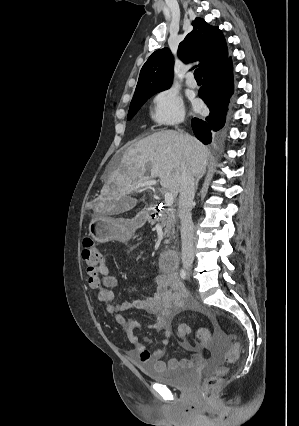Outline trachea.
<instances>
[{
  "instance_id": "3493384b",
  "label": "trachea",
  "mask_w": 299,
  "mask_h": 426,
  "mask_svg": "<svg viewBox=\"0 0 299 426\" xmlns=\"http://www.w3.org/2000/svg\"><path fill=\"white\" fill-rule=\"evenodd\" d=\"M194 76L196 80H202V76H201V70L199 68H197L194 72Z\"/></svg>"
}]
</instances>
